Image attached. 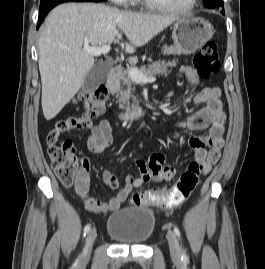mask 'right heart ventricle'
I'll return each instance as SVG.
<instances>
[{"mask_svg":"<svg viewBox=\"0 0 265 269\" xmlns=\"http://www.w3.org/2000/svg\"><path fill=\"white\" fill-rule=\"evenodd\" d=\"M141 0H133L132 2H136V3H138V2H140Z\"/></svg>","mask_w":265,"mask_h":269,"instance_id":"e07e8e85","label":"right heart ventricle"}]
</instances>
